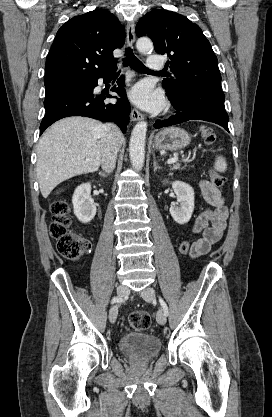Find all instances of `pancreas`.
Returning <instances> with one entry per match:
<instances>
[{
	"label": "pancreas",
	"instance_id": "1",
	"mask_svg": "<svg viewBox=\"0 0 272 417\" xmlns=\"http://www.w3.org/2000/svg\"><path fill=\"white\" fill-rule=\"evenodd\" d=\"M181 168V165L179 163H175L173 164V166L171 167L172 170H178Z\"/></svg>",
	"mask_w": 272,
	"mask_h": 417
}]
</instances>
